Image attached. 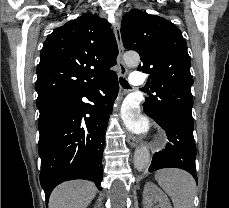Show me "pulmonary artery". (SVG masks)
Returning a JSON list of instances; mask_svg holds the SVG:
<instances>
[{"label": "pulmonary artery", "instance_id": "pulmonary-artery-1", "mask_svg": "<svg viewBox=\"0 0 229 208\" xmlns=\"http://www.w3.org/2000/svg\"><path fill=\"white\" fill-rule=\"evenodd\" d=\"M145 72H134L133 75L130 77V81L133 87H142L143 83L145 82L144 78H137V77H145Z\"/></svg>", "mask_w": 229, "mask_h": 208}]
</instances>
